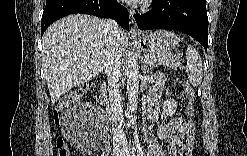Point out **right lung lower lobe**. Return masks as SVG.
<instances>
[{
	"instance_id": "98d812e1",
	"label": "right lung lower lobe",
	"mask_w": 247,
	"mask_h": 156,
	"mask_svg": "<svg viewBox=\"0 0 247 156\" xmlns=\"http://www.w3.org/2000/svg\"><path fill=\"white\" fill-rule=\"evenodd\" d=\"M74 13L114 18L124 29H129V14L116 0H46L41 19V36L54 21Z\"/></svg>"
}]
</instances>
